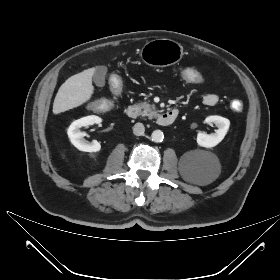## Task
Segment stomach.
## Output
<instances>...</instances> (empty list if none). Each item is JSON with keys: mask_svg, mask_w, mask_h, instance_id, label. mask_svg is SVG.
Masks as SVG:
<instances>
[{"mask_svg": "<svg viewBox=\"0 0 280 280\" xmlns=\"http://www.w3.org/2000/svg\"><path fill=\"white\" fill-rule=\"evenodd\" d=\"M183 47L170 39H155L147 42L141 49L142 61L153 67L172 65L183 57Z\"/></svg>", "mask_w": 280, "mask_h": 280, "instance_id": "obj_1", "label": "stomach"}]
</instances>
